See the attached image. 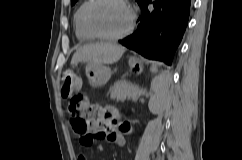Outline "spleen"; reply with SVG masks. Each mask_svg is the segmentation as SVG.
<instances>
[{"label": "spleen", "mask_w": 242, "mask_h": 160, "mask_svg": "<svg viewBox=\"0 0 242 160\" xmlns=\"http://www.w3.org/2000/svg\"><path fill=\"white\" fill-rule=\"evenodd\" d=\"M150 70L152 73H156L158 71L155 65H152ZM168 82H169L168 72H162L160 75L156 76L153 79L151 83V88L157 95H160L163 93L164 89L168 86Z\"/></svg>", "instance_id": "spleen-1"}]
</instances>
